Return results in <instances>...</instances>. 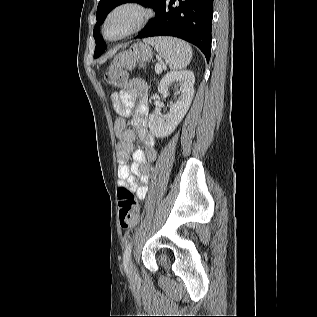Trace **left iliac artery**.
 Returning a JSON list of instances; mask_svg holds the SVG:
<instances>
[{
  "instance_id": "1",
  "label": "left iliac artery",
  "mask_w": 317,
  "mask_h": 317,
  "mask_svg": "<svg viewBox=\"0 0 317 317\" xmlns=\"http://www.w3.org/2000/svg\"><path fill=\"white\" fill-rule=\"evenodd\" d=\"M131 248H132V243L130 242L125 249L124 255H123V265L124 269L128 272L127 266H128V261L130 259L131 255Z\"/></svg>"
}]
</instances>
